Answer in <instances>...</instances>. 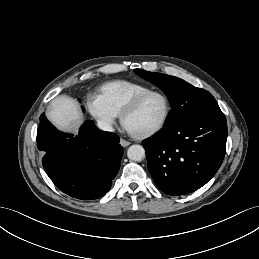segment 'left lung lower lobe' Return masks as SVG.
Instances as JSON below:
<instances>
[{
	"label": "left lung lower lobe",
	"mask_w": 259,
	"mask_h": 259,
	"mask_svg": "<svg viewBox=\"0 0 259 259\" xmlns=\"http://www.w3.org/2000/svg\"><path fill=\"white\" fill-rule=\"evenodd\" d=\"M226 140L227 123L222 111L165 127L143 143L149 172L168 195L194 192L220 168Z\"/></svg>",
	"instance_id": "left-lung-lower-lobe-1"
}]
</instances>
